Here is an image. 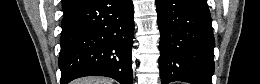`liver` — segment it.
Listing matches in <instances>:
<instances>
[{
  "label": "liver",
  "instance_id": "obj_1",
  "mask_svg": "<svg viewBox=\"0 0 260 84\" xmlns=\"http://www.w3.org/2000/svg\"><path fill=\"white\" fill-rule=\"evenodd\" d=\"M113 80L107 77H85L75 81V84H112Z\"/></svg>",
  "mask_w": 260,
  "mask_h": 84
}]
</instances>
